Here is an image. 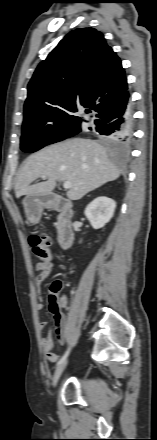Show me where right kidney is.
<instances>
[{"label":"right kidney","instance_id":"ca27d5eb","mask_svg":"<svg viewBox=\"0 0 157 440\" xmlns=\"http://www.w3.org/2000/svg\"><path fill=\"white\" fill-rule=\"evenodd\" d=\"M116 203L106 196L95 198L85 209V216L94 229L104 227L114 215Z\"/></svg>","mask_w":157,"mask_h":440}]
</instances>
